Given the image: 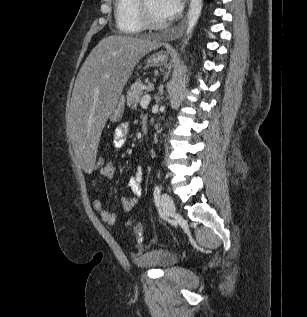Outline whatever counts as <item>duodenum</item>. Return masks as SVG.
Instances as JSON below:
<instances>
[{"instance_id": "410a0bca", "label": "duodenum", "mask_w": 307, "mask_h": 317, "mask_svg": "<svg viewBox=\"0 0 307 317\" xmlns=\"http://www.w3.org/2000/svg\"><path fill=\"white\" fill-rule=\"evenodd\" d=\"M141 129H142L143 133H146L148 131V122H147L146 118H142V120H141Z\"/></svg>"}]
</instances>
